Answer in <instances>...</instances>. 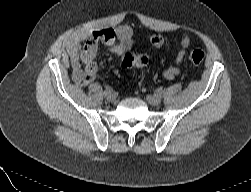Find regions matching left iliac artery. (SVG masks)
I'll return each mask as SVG.
<instances>
[{"instance_id": "1", "label": "left iliac artery", "mask_w": 251, "mask_h": 192, "mask_svg": "<svg viewBox=\"0 0 251 192\" xmlns=\"http://www.w3.org/2000/svg\"><path fill=\"white\" fill-rule=\"evenodd\" d=\"M157 95H159L160 97L163 95V90L162 89H158L157 91Z\"/></svg>"}]
</instances>
